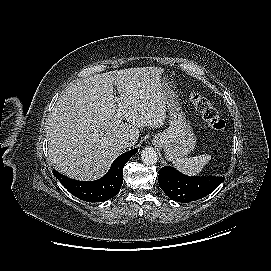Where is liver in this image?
I'll return each instance as SVG.
<instances>
[{
	"label": "liver",
	"instance_id": "obj_1",
	"mask_svg": "<svg viewBox=\"0 0 271 271\" xmlns=\"http://www.w3.org/2000/svg\"><path fill=\"white\" fill-rule=\"evenodd\" d=\"M163 73L160 67L128 68L68 86L47 123L49 158L55 168L73 179H98L124 149L118 145L122 136L136 144L139 128L162 126L167 106ZM118 109L127 122L117 118Z\"/></svg>",
	"mask_w": 271,
	"mask_h": 271
}]
</instances>
